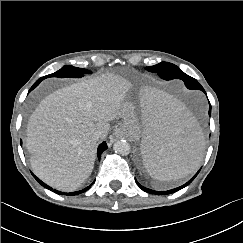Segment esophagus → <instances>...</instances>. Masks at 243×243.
<instances>
[{"label": "esophagus", "mask_w": 243, "mask_h": 243, "mask_svg": "<svg viewBox=\"0 0 243 243\" xmlns=\"http://www.w3.org/2000/svg\"><path fill=\"white\" fill-rule=\"evenodd\" d=\"M114 136L119 139L124 138L126 136L125 129L122 128L117 129L114 133Z\"/></svg>", "instance_id": "34e87169"}]
</instances>
